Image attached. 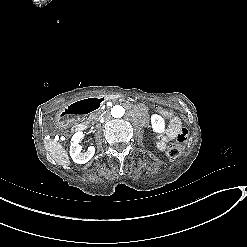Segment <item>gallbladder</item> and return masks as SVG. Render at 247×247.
I'll return each mask as SVG.
<instances>
[{"instance_id":"gallbladder-1","label":"gallbladder","mask_w":247,"mask_h":247,"mask_svg":"<svg viewBox=\"0 0 247 247\" xmlns=\"http://www.w3.org/2000/svg\"><path fill=\"white\" fill-rule=\"evenodd\" d=\"M43 123L47 126L46 132L50 136H54L57 134L58 131V123L55 118L50 115H47L43 119Z\"/></svg>"}]
</instances>
